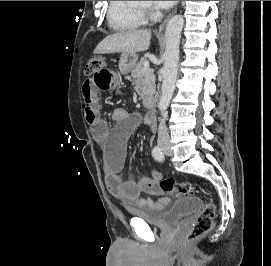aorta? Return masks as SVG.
Wrapping results in <instances>:
<instances>
[{
	"mask_svg": "<svg viewBox=\"0 0 271 266\" xmlns=\"http://www.w3.org/2000/svg\"><path fill=\"white\" fill-rule=\"evenodd\" d=\"M182 15L173 16L167 23L165 30V54L162 68L163 81L158 108L165 112L172 99L178 74L179 46L181 32L184 27Z\"/></svg>",
	"mask_w": 271,
	"mask_h": 266,
	"instance_id": "762f6f07",
	"label": "aorta"
}]
</instances>
